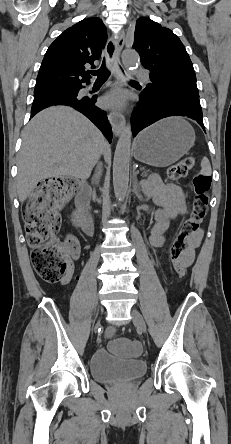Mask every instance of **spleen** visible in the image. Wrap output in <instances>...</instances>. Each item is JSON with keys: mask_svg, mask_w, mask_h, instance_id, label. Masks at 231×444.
Segmentation results:
<instances>
[{"mask_svg": "<svg viewBox=\"0 0 231 444\" xmlns=\"http://www.w3.org/2000/svg\"><path fill=\"white\" fill-rule=\"evenodd\" d=\"M201 174L204 176H209L211 174V165L209 160L204 157L201 161Z\"/></svg>", "mask_w": 231, "mask_h": 444, "instance_id": "spleen-1", "label": "spleen"}]
</instances>
